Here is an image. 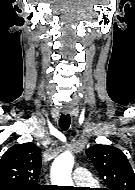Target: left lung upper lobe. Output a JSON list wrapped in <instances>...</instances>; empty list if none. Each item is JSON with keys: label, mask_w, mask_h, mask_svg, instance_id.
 <instances>
[{"label": "left lung upper lobe", "mask_w": 135, "mask_h": 190, "mask_svg": "<svg viewBox=\"0 0 135 190\" xmlns=\"http://www.w3.org/2000/svg\"><path fill=\"white\" fill-rule=\"evenodd\" d=\"M86 154L106 183L105 190H135V173L120 149L97 144L88 148Z\"/></svg>", "instance_id": "1"}]
</instances>
